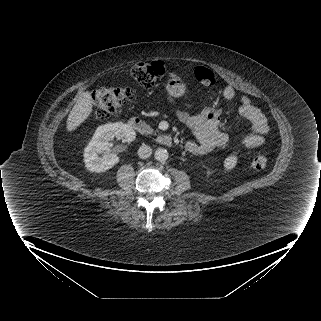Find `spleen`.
Segmentation results:
<instances>
[{
	"label": "spleen",
	"mask_w": 321,
	"mask_h": 321,
	"mask_svg": "<svg viewBox=\"0 0 321 321\" xmlns=\"http://www.w3.org/2000/svg\"><path fill=\"white\" fill-rule=\"evenodd\" d=\"M236 157L234 155L229 156L225 161V167L227 169L232 168L235 165Z\"/></svg>",
	"instance_id": "1"
}]
</instances>
